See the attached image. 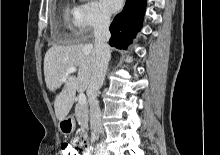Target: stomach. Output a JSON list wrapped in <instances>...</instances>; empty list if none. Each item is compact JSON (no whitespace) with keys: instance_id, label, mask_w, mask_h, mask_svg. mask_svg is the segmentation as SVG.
Instances as JSON below:
<instances>
[{"instance_id":"1","label":"stomach","mask_w":220,"mask_h":155,"mask_svg":"<svg viewBox=\"0 0 220 155\" xmlns=\"http://www.w3.org/2000/svg\"><path fill=\"white\" fill-rule=\"evenodd\" d=\"M58 127L62 134L69 135L75 130V120L72 116H68L59 122Z\"/></svg>"}]
</instances>
